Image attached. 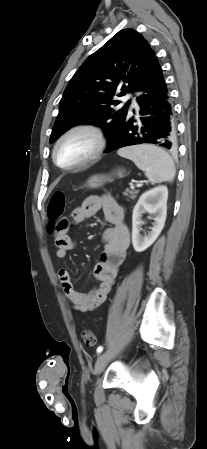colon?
Listing matches in <instances>:
<instances>
[{
	"mask_svg": "<svg viewBox=\"0 0 207 449\" xmlns=\"http://www.w3.org/2000/svg\"><path fill=\"white\" fill-rule=\"evenodd\" d=\"M65 209V196L62 192H55L47 206V215L50 221V229L53 231L58 230V224L64 213ZM83 340L85 344L92 347L96 344V337L90 330H85L82 333Z\"/></svg>",
	"mask_w": 207,
	"mask_h": 449,
	"instance_id": "1",
	"label": "colon"
}]
</instances>
